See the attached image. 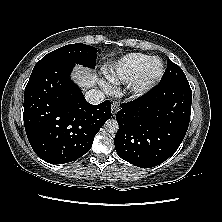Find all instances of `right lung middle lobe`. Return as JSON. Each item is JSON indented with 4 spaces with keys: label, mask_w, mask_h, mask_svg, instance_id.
<instances>
[{
    "label": "right lung middle lobe",
    "mask_w": 222,
    "mask_h": 222,
    "mask_svg": "<svg viewBox=\"0 0 222 222\" xmlns=\"http://www.w3.org/2000/svg\"><path fill=\"white\" fill-rule=\"evenodd\" d=\"M97 49L85 44H70L56 49L45 55L36 63L33 71L54 64H80L85 67L94 68L96 65Z\"/></svg>",
    "instance_id": "obj_1"
}]
</instances>
